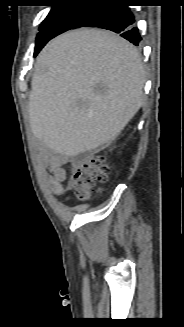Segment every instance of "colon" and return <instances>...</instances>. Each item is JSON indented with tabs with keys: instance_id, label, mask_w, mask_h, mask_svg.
Instances as JSON below:
<instances>
[{
	"instance_id": "colon-1",
	"label": "colon",
	"mask_w": 184,
	"mask_h": 327,
	"mask_svg": "<svg viewBox=\"0 0 184 327\" xmlns=\"http://www.w3.org/2000/svg\"><path fill=\"white\" fill-rule=\"evenodd\" d=\"M109 177V167L101 154H95L84 161L72 173V188L77 198L87 200L97 185L105 183Z\"/></svg>"
}]
</instances>
